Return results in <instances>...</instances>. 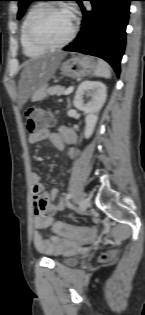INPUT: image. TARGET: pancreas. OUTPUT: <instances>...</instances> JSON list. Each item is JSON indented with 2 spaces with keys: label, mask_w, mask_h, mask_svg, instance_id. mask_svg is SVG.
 Returning a JSON list of instances; mask_svg holds the SVG:
<instances>
[{
  "label": "pancreas",
  "mask_w": 145,
  "mask_h": 315,
  "mask_svg": "<svg viewBox=\"0 0 145 315\" xmlns=\"http://www.w3.org/2000/svg\"><path fill=\"white\" fill-rule=\"evenodd\" d=\"M65 91H66L65 88L60 86V85L51 86V87H49L46 90V96H48V95H51V96L58 95V96H60V95L64 94Z\"/></svg>",
  "instance_id": "cf45deb5"
}]
</instances>
